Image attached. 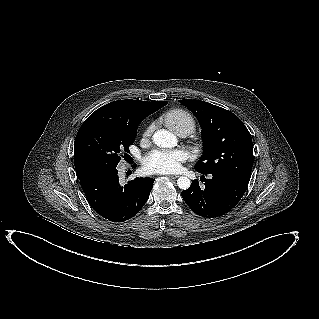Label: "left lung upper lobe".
<instances>
[{"mask_svg": "<svg viewBox=\"0 0 319 319\" xmlns=\"http://www.w3.org/2000/svg\"><path fill=\"white\" fill-rule=\"evenodd\" d=\"M198 119L204 154L195 170L224 173L249 183L254 162L251 135L232 112L200 100H179Z\"/></svg>", "mask_w": 319, "mask_h": 319, "instance_id": "left-lung-upper-lobe-1", "label": "left lung upper lobe"}]
</instances>
